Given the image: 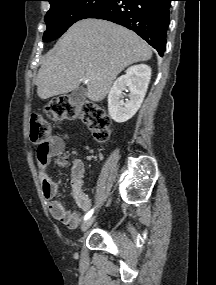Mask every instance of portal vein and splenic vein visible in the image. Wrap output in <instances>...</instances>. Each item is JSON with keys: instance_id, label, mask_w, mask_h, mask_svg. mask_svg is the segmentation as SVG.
I'll return each instance as SVG.
<instances>
[{"instance_id": "18ae733b", "label": "portal vein and splenic vein", "mask_w": 216, "mask_h": 285, "mask_svg": "<svg viewBox=\"0 0 216 285\" xmlns=\"http://www.w3.org/2000/svg\"><path fill=\"white\" fill-rule=\"evenodd\" d=\"M82 80L87 81L86 77H83Z\"/></svg>"}]
</instances>
